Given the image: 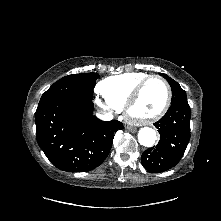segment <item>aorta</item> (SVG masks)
<instances>
[{"mask_svg": "<svg viewBox=\"0 0 221 221\" xmlns=\"http://www.w3.org/2000/svg\"><path fill=\"white\" fill-rule=\"evenodd\" d=\"M156 139V131L152 128L144 127L138 132L139 143L145 147H152Z\"/></svg>", "mask_w": 221, "mask_h": 221, "instance_id": "obj_1", "label": "aorta"}]
</instances>
